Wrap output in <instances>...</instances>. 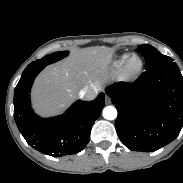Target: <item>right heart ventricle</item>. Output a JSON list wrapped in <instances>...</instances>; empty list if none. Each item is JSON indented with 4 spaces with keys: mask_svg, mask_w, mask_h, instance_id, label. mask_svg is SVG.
<instances>
[{
    "mask_svg": "<svg viewBox=\"0 0 183 183\" xmlns=\"http://www.w3.org/2000/svg\"><path fill=\"white\" fill-rule=\"evenodd\" d=\"M126 59V55L121 56L120 60H119V64H122Z\"/></svg>",
    "mask_w": 183,
    "mask_h": 183,
    "instance_id": "e07e8e85",
    "label": "right heart ventricle"
}]
</instances>
